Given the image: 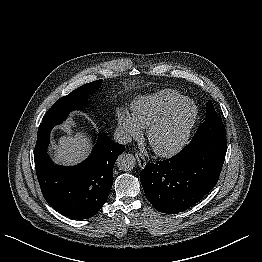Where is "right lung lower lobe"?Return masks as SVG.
Wrapping results in <instances>:
<instances>
[{
    "instance_id": "right-lung-lower-lobe-1",
    "label": "right lung lower lobe",
    "mask_w": 262,
    "mask_h": 262,
    "mask_svg": "<svg viewBox=\"0 0 262 262\" xmlns=\"http://www.w3.org/2000/svg\"><path fill=\"white\" fill-rule=\"evenodd\" d=\"M60 123H41L38 129L34 161L40 188L54 210L73 219L90 218L107 200L114 164L125 147L100 133L85 161L72 167L55 165L47 155V148L51 129Z\"/></svg>"
}]
</instances>
